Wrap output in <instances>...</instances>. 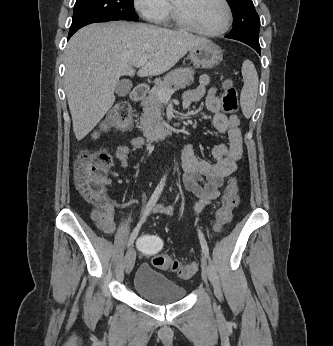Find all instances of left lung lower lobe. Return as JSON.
Listing matches in <instances>:
<instances>
[{
  "instance_id": "1",
  "label": "left lung lower lobe",
  "mask_w": 333,
  "mask_h": 346,
  "mask_svg": "<svg viewBox=\"0 0 333 346\" xmlns=\"http://www.w3.org/2000/svg\"><path fill=\"white\" fill-rule=\"evenodd\" d=\"M248 45L254 48L260 54V45L258 43H248Z\"/></svg>"
}]
</instances>
